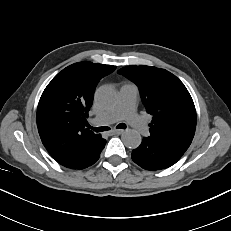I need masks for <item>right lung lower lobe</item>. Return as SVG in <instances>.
<instances>
[{
    "instance_id": "98d812e1",
    "label": "right lung lower lobe",
    "mask_w": 231,
    "mask_h": 231,
    "mask_svg": "<svg viewBox=\"0 0 231 231\" xmlns=\"http://www.w3.org/2000/svg\"><path fill=\"white\" fill-rule=\"evenodd\" d=\"M106 140L100 137L93 144L88 145L85 149L80 150L70 159L59 162L62 166L70 169H84L94 164L100 157V153L105 147Z\"/></svg>"
}]
</instances>
